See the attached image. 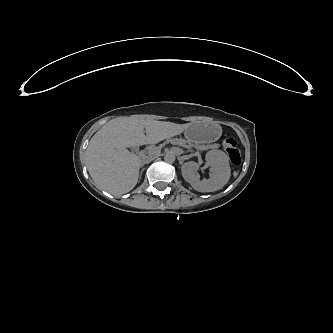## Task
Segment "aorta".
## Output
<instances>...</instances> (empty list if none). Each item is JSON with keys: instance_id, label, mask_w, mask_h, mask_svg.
I'll return each instance as SVG.
<instances>
[{"instance_id": "762f6f07", "label": "aorta", "mask_w": 333, "mask_h": 333, "mask_svg": "<svg viewBox=\"0 0 333 333\" xmlns=\"http://www.w3.org/2000/svg\"><path fill=\"white\" fill-rule=\"evenodd\" d=\"M176 156L173 152H167L164 156V160L167 163H174Z\"/></svg>"}]
</instances>
